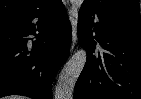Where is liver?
<instances>
[{"instance_id": "1", "label": "liver", "mask_w": 141, "mask_h": 99, "mask_svg": "<svg viewBox=\"0 0 141 99\" xmlns=\"http://www.w3.org/2000/svg\"><path fill=\"white\" fill-rule=\"evenodd\" d=\"M10 99H26V98L21 97V96H12L10 97Z\"/></svg>"}]
</instances>
